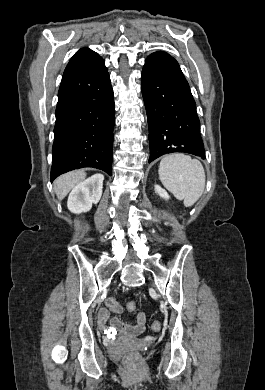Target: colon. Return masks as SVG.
<instances>
[{
	"instance_id": "5ec220e1",
	"label": "colon",
	"mask_w": 265,
	"mask_h": 390,
	"mask_svg": "<svg viewBox=\"0 0 265 390\" xmlns=\"http://www.w3.org/2000/svg\"><path fill=\"white\" fill-rule=\"evenodd\" d=\"M106 306L114 313H120L122 312V306L118 303V301L115 298H108L106 300ZM126 309L129 312H134L137 309V304L134 301H129L126 304ZM151 328L154 331H159L161 328V323L159 321H154L151 324ZM129 361H136L137 357L136 355H130L128 357Z\"/></svg>"
}]
</instances>
